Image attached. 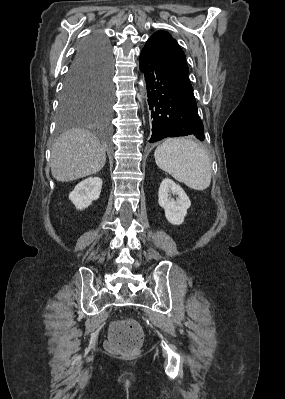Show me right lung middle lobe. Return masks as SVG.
<instances>
[{"label": "right lung middle lobe", "mask_w": 285, "mask_h": 399, "mask_svg": "<svg viewBox=\"0 0 285 399\" xmlns=\"http://www.w3.org/2000/svg\"><path fill=\"white\" fill-rule=\"evenodd\" d=\"M112 100V69L110 72L105 68L70 71L60 95V129L93 110L108 121Z\"/></svg>", "instance_id": "right-lung-middle-lobe-1"}]
</instances>
